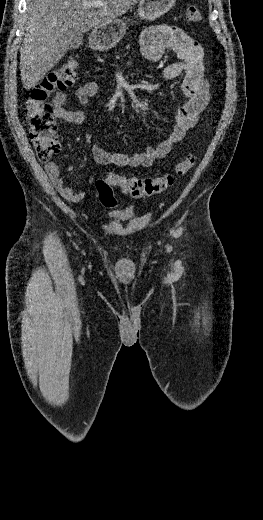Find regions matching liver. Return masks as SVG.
<instances>
[{"label":"liver","instance_id":"obj_1","mask_svg":"<svg viewBox=\"0 0 263 520\" xmlns=\"http://www.w3.org/2000/svg\"><path fill=\"white\" fill-rule=\"evenodd\" d=\"M100 1V7L87 4ZM139 0H28L26 34L20 48L23 87L30 90L64 57L70 30L86 33L117 20Z\"/></svg>","mask_w":263,"mask_h":520}]
</instances>
